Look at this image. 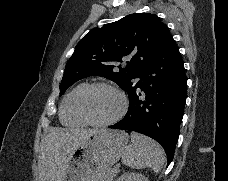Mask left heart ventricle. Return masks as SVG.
<instances>
[{
	"instance_id": "left-heart-ventricle-1",
	"label": "left heart ventricle",
	"mask_w": 228,
	"mask_h": 181,
	"mask_svg": "<svg viewBox=\"0 0 228 181\" xmlns=\"http://www.w3.org/2000/svg\"><path fill=\"white\" fill-rule=\"evenodd\" d=\"M118 95L108 88H94L83 103L85 111L92 115V119L100 121L111 117L119 108Z\"/></svg>"
}]
</instances>
